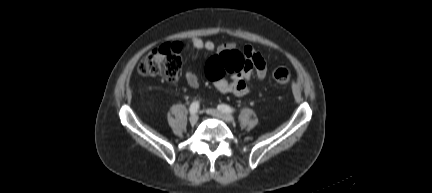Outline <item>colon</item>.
Segmentation results:
<instances>
[{
	"instance_id": "1",
	"label": "colon",
	"mask_w": 432,
	"mask_h": 193,
	"mask_svg": "<svg viewBox=\"0 0 432 193\" xmlns=\"http://www.w3.org/2000/svg\"><path fill=\"white\" fill-rule=\"evenodd\" d=\"M182 47L178 43H166L145 56L138 64V71L146 76H160L167 81H174L182 65ZM247 67V59L239 50H226L211 57L206 64V73L212 81L225 74L234 75ZM273 80L278 85H286L291 80V73L286 68L273 72Z\"/></svg>"
}]
</instances>
